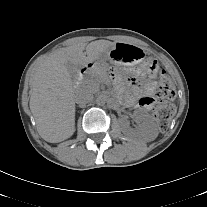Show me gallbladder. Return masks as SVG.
<instances>
[{"label": "gallbladder", "instance_id": "obj_1", "mask_svg": "<svg viewBox=\"0 0 207 207\" xmlns=\"http://www.w3.org/2000/svg\"><path fill=\"white\" fill-rule=\"evenodd\" d=\"M65 66H66V68L68 69V71L70 72L71 75H76L77 67L75 65L68 62L67 64H65Z\"/></svg>", "mask_w": 207, "mask_h": 207}]
</instances>
